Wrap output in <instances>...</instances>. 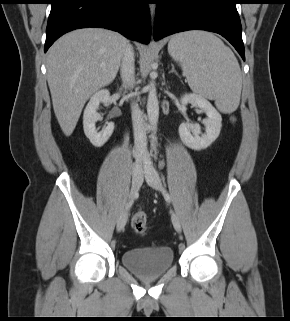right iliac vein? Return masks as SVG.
Returning a JSON list of instances; mask_svg holds the SVG:
<instances>
[{"label": "right iliac vein", "instance_id": "obj_1", "mask_svg": "<svg viewBox=\"0 0 290 321\" xmlns=\"http://www.w3.org/2000/svg\"><path fill=\"white\" fill-rule=\"evenodd\" d=\"M142 172H143V168H142L141 164L136 163L133 166V170H132V185H131L130 192L128 194L126 207L122 211V213L120 214L118 221H117V231L118 232L122 231L127 223L128 215H129V208H130L133 200L135 199L137 192L142 184V177H141Z\"/></svg>", "mask_w": 290, "mask_h": 321}]
</instances>
